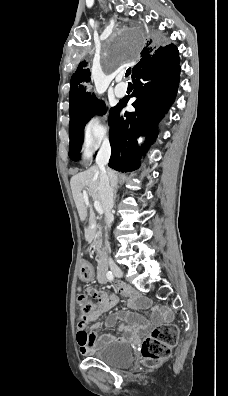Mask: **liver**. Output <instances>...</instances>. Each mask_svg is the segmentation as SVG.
Instances as JSON below:
<instances>
[{
  "label": "liver",
  "mask_w": 228,
  "mask_h": 396,
  "mask_svg": "<svg viewBox=\"0 0 228 396\" xmlns=\"http://www.w3.org/2000/svg\"><path fill=\"white\" fill-rule=\"evenodd\" d=\"M100 174L98 166L93 165L84 172L74 175L70 180L73 199L77 207L79 217L82 221H85L87 218V210L89 206L88 199L86 200L82 194V190L84 188H87L91 198L95 201H99L102 206L99 194ZM107 174L110 179V184L116 187L118 183L117 173L114 170L109 169L107 170ZM94 228L95 221L91 211L89 226L86 230V238L88 242H90L94 237Z\"/></svg>",
  "instance_id": "obj_1"
}]
</instances>
